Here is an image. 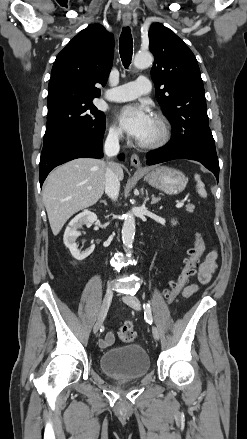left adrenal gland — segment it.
I'll list each match as a JSON object with an SVG mask.
<instances>
[{
    "label": "left adrenal gland",
    "instance_id": "obj_1",
    "mask_svg": "<svg viewBox=\"0 0 247 439\" xmlns=\"http://www.w3.org/2000/svg\"><path fill=\"white\" fill-rule=\"evenodd\" d=\"M146 199L149 200L148 191L147 190H146ZM159 200H160V198H156V197L152 196L151 204H155Z\"/></svg>",
    "mask_w": 247,
    "mask_h": 439
}]
</instances>
